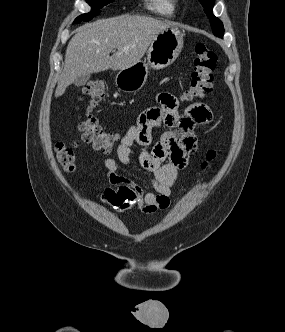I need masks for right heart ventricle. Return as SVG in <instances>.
Listing matches in <instances>:
<instances>
[{"mask_svg":"<svg viewBox=\"0 0 285 332\" xmlns=\"http://www.w3.org/2000/svg\"><path fill=\"white\" fill-rule=\"evenodd\" d=\"M177 0H145L146 9L160 17L171 18L176 14Z\"/></svg>","mask_w":285,"mask_h":332,"instance_id":"right-heart-ventricle-1","label":"right heart ventricle"}]
</instances>
